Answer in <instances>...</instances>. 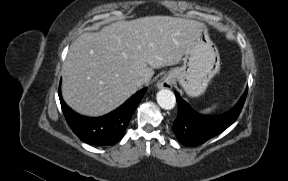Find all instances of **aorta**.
Returning a JSON list of instances; mask_svg holds the SVG:
<instances>
[{"label":"aorta","instance_id":"obj_1","mask_svg":"<svg viewBox=\"0 0 288 181\" xmlns=\"http://www.w3.org/2000/svg\"><path fill=\"white\" fill-rule=\"evenodd\" d=\"M157 103L165 110L173 109L176 104L174 93L168 89H161L156 96Z\"/></svg>","mask_w":288,"mask_h":181}]
</instances>
